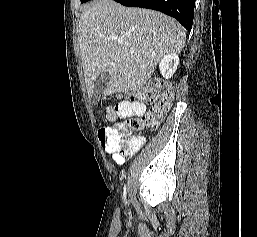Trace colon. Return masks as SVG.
<instances>
[{"label":"colon","instance_id":"colon-1","mask_svg":"<svg viewBox=\"0 0 257 237\" xmlns=\"http://www.w3.org/2000/svg\"><path fill=\"white\" fill-rule=\"evenodd\" d=\"M173 91L174 86L170 83L154 82L130 95L131 98L147 101L151 107L142 118L120 122L114 129L102 124L99 128V139L104 148L106 145L110 148L123 146L129 133L155 127L169 108Z\"/></svg>","mask_w":257,"mask_h":237}]
</instances>
